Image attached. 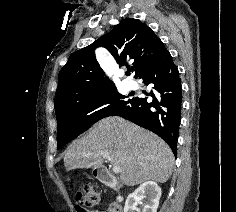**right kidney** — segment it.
Segmentation results:
<instances>
[{
	"label": "right kidney",
	"mask_w": 236,
	"mask_h": 212,
	"mask_svg": "<svg viewBox=\"0 0 236 212\" xmlns=\"http://www.w3.org/2000/svg\"><path fill=\"white\" fill-rule=\"evenodd\" d=\"M160 197L161 188L158 184L153 181H147L127 197L124 212L137 211V204L144 198L147 201L142 212H157Z\"/></svg>",
	"instance_id": "ca27d5eb"
}]
</instances>
